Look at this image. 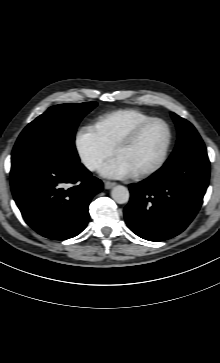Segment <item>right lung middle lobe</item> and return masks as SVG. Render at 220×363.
<instances>
[{
	"instance_id": "obj_1",
	"label": "right lung middle lobe",
	"mask_w": 220,
	"mask_h": 363,
	"mask_svg": "<svg viewBox=\"0 0 220 363\" xmlns=\"http://www.w3.org/2000/svg\"><path fill=\"white\" fill-rule=\"evenodd\" d=\"M96 102L68 103L50 107L22 131L12 152V167L36 157H54L77 164L74 140L81 119Z\"/></svg>"
}]
</instances>
